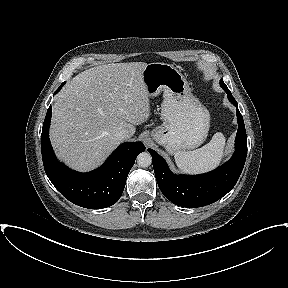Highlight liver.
<instances>
[{
  "mask_svg": "<svg viewBox=\"0 0 288 288\" xmlns=\"http://www.w3.org/2000/svg\"><path fill=\"white\" fill-rule=\"evenodd\" d=\"M146 66L144 62L100 65L66 85L53 104L50 128L60 160L77 171H89L120 144L116 132H125L129 139L135 125L148 120L150 101L142 79Z\"/></svg>",
  "mask_w": 288,
  "mask_h": 288,
  "instance_id": "6515ba94",
  "label": "liver"
}]
</instances>
